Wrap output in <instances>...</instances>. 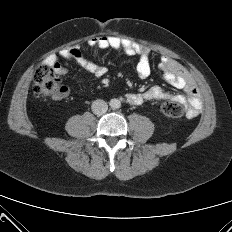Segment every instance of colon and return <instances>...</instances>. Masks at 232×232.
<instances>
[{"mask_svg": "<svg viewBox=\"0 0 232 232\" xmlns=\"http://www.w3.org/2000/svg\"><path fill=\"white\" fill-rule=\"evenodd\" d=\"M62 90L60 80L55 75L51 63H45L37 67L34 74L33 93L39 98H46L58 95ZM161 113L170 118H179L184 114V107L181 103L173 100H165L160 103Z\"/></svg>", "mask_w": 232, "mask_h": 232, "instance_id": "obj_1", "label": "colon"}]
</instances>
